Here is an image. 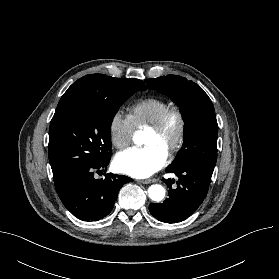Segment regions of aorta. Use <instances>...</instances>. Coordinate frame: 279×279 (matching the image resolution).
<instances>
[{
	"label": "aorta",
	"instance_id": "762f6f07",
	"mask_svg": "<svg viewBox=\"0 0 279 279\" xmlns=\"http://www.w3.org/2000/svg\"><path fill=\"white\" fill-rule=\"evenodd\" d=\"M134 142L139 145L142 144L141 134L138 133L134 136ZM148 194H149L150 199H152L153 201H156V202H160L165 197V189L163 186H161L159 184H154L149 187Z\"/></svg>",
	"mask_w": 279,
	"mask_h": 279
}]
</instances>
